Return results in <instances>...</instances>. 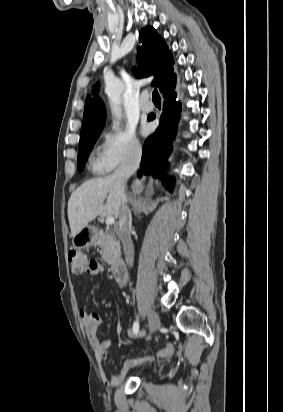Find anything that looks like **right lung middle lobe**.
Instances as JSON below:
<instances>
[{
	"label": "right lung middle lobe",
	"mask_w": 283,
	"mask_h": 412,
	"mask_svg": "<svg viewBox=\"0 0 283 412\" xmlns=\"http://www.w3.org/2000/svg\"><path fill=\"white\" fill-rule=\"evenodd\" d=\"M99 134L100 132H96L80 138L77 159L79 172L83 170L89 153L92 150L97 138L99 137Z\"/></svg>",
	"instance_id": "right-lung-middle-lobe-1"
}]
</instances>
